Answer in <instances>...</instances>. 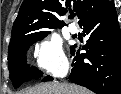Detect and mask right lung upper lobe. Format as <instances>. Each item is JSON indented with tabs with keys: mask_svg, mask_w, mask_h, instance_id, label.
<instances>
[{
	"mask_svg": "<svg viewBox=\"0 0 121 94\" xmlns=\"http://www.w3.org/2000/svg\"><path fill=\"white\" fill-rule=\"evenodd\" d=\"M110 0H24L12 28L10 44L29 31H49L63 27L57 17L63 16L71 7L77 12L78 23L105 8Z\"/></svg>",
	"mask_w": 121,
	"mask_h": 94,
	"instance_id": "right-lung-upper-lobe-1",
	"label": "right lung upper lobe"
}]
</instances>
